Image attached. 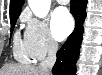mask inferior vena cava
<instances>
[{
    "mask_svg": "<svg viewBox=\"0 0 102 75\" xmlns=\"http://www.w3.org/2000/svg\"><path fill=\"white\" fill-rule=\"evenodd\" d=\"M58 50V44L54 40L49 41L48 56L45 60L41 61L38 68L45 72H49L56 62V54Z\"/></svg>",
    "mask_w": 102,
    "mask_h": 75,
    "instance_id": "1",
    "label": "inferior vena cava"
}]
</instances>
